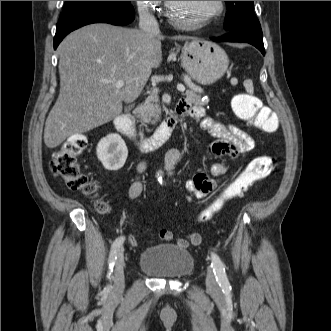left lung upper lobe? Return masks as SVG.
I'll use <instances>...</instances> for the list:
<instances>
[{
    "label": "left lung upper lobe",
    "mask_w": 331,
    "mask_h": 331,
    "mask_svg": "<svg viewBox=\"0 0 331 331\" xmlns=\"http://www.w3.org/2000/svg\"><path fill=\"white\" fill-rule=\"evenodd\" d=\"M228 13L225 17L226 31L260 26L253 12V1H225Z\"/></svg>",
    "instance_id": "left-lung-upper-lobe-1"
}]
</instances>
